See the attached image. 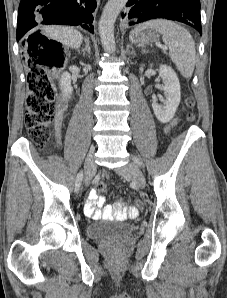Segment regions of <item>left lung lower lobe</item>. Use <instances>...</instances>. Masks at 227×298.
<instances>
[{"mask_svg": "<svg viewBox=\"0 0 227 298\" xmlns=\"http://www.w3.org/2000/svg\"><path fill=\"white\" fill-rule=\"evenodd\" d=\"M122 18L128 25L150 19H169L183 22L202 34L200 0H128Z\"/></svg>", "mask_w": 227, "mask_h": 298, "instance_id": "1", "label": "left lung lower lobe"}]
</instances>
